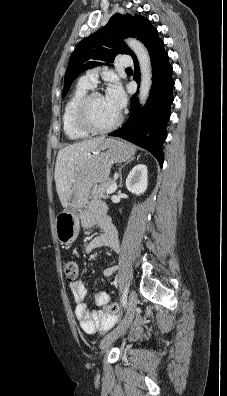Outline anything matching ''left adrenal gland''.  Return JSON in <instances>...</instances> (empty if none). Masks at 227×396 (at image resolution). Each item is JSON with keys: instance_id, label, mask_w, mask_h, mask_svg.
<instances>
[{"instance_id": "1", "label": "left adrenal gland", "mask_w": 227, "mask_h": 396, "mask_svg": "<svg viewBox=\"0 0 227 396\" xmlns=\"http://www.w3.org/2000/svg\"><path fill=\"white\" fill-rule=\"evenodd\" d=\"M134 160V158H131L128 162H126V164H128L129 162H132ZM126 164H124L123 166H121L120 168H119V185H118V187H122V168L126 165Z\"/></svg>"}]
</instances>
